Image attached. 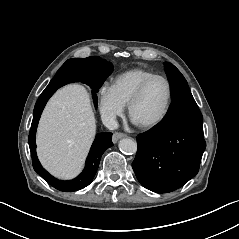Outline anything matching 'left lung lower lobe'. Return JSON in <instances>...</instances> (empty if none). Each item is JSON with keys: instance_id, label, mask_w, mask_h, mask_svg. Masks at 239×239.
<instances>
[{"instance_id": "left-lung-lower-lobe-1", "label": "left lung lower lobe", "mask_w": 239, "mask_h": 239, "mask_svg": "<svg viewBox=\"0 0 239 239\" xmlns=\"http://www.w3.org/2000/svg\"><path fill=\"white\" fill-rule=\"evenodd\" d=\"M137 144L132 168L146 189L168 193L193 178L206 142L203 117L191 92L173 97L163 120L138 135Z\"/></svg>"}]
</instances>
